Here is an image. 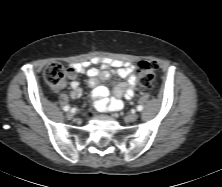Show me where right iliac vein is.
<instances>
[{"mask_svg": "<svg viewBox=\"0 0 222 187\" xmlns=\"http://www.w3.org/2000/svg\"><path fill=\"white\" fill-rule=\"evenodd\" d=\"M73 116H74V114H73L71 111H69V112L66 113V117H67L68 119H72Z\"/></svg>", "mask_w": 222, "mask_h": 187, "instance_id": "1", "label": "right iliac vein"}]
</instances>
